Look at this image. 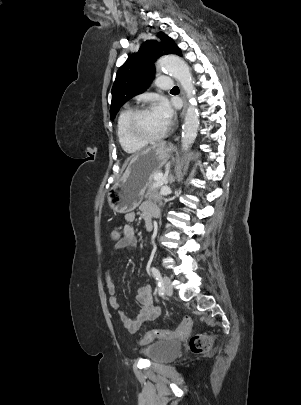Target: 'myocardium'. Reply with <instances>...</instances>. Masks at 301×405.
Returning a JSON list of instances; mask_svg holds the SVG:
<instances>
[{
  "label": "myocardium",
  "mask_w": 301,
  "mask_h": 405,
  "mask_svg": "<svg viewBox=\"0 0 301 405\" xmlns=\"http://www.w3.org/2000/svg\"><path fill=\"white\" fill-rule=\"evenodd\" d=\"M150 109L151 108L148 106H143V107L137 108L131 112V114L127 120V126H126L127 133L133 141H135L139 144L146 145V144H152V143L158 142L167 136V134L169 133L170 128H171L170 124H167L166 128L160 134H158L156 136L146 137V136L141 135L137 131L138 120L143 113L147 112Z\"/></svg>",
  "instance_id": "1"
}]
</instances>
